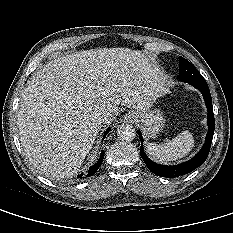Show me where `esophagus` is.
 <instances>
[{"label":"esophagus","instance_id":"esophagus-1","mask_svg":"<svg viewBox=\"0 0 233 233\" xmlns=\"http://www.w3.org/2000/svg\"><path fill=\"white\" fill-rule=\"evenodd\" d=\"M125 118L127 121L132 122L133 120H135L136 116L134 113H128Z\"/></svg>","mask_w":233,"mask_h":233}]
</instances>
